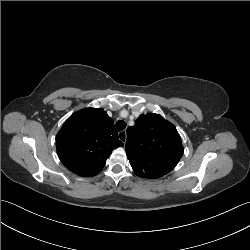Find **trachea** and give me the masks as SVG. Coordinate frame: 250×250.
I'll list each match as a JSON object with an SVG mask.
<instances>
[{"mask_svg":"<svg viewBox=\"0 0 250 250\" xmlns=\"http://www.w3.org/2000/svg\"><path fill=\"white\" fill-rule=\"evenodd\" d=\"M126 128V122L125 121H122V120H119L116 122V129L118 131H122Z\"/></svg>","mask_w":250,"mask_h":250,"instance_id":"3493384b","label":"trachea"}]
</instances>
